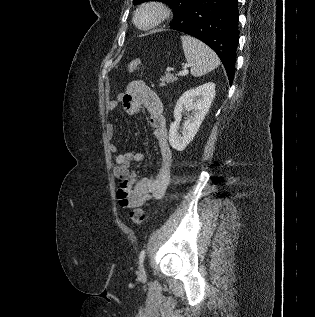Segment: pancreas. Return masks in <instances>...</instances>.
Listing matches in <instances>:
<instances>
[{
  "label": "pancreas",
  "mask_w": 315,
  "mask_h": 317,
  "mask_svg": "<svg viewBox=\"0 0 315 317\" xmlns=\"http://www.w3.org/2000/svg\"><path fill=\"white\" fill-rule=\"evenodd\" d=\"M177 79H178L177 77H174V76L171 75L169 72H167V73L165 74V76L160 79V81H161L160 85H161V86H165L166 83H172L173 81H175V80H177Z\"/></svg>",
  "instance_id": "obj_1"
}]
</instances>
